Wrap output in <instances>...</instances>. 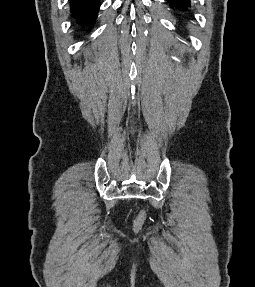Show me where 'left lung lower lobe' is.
Here are the masks:
<instances>
[{
	"label": "left lung lower lobe",
	"instance_id": "obj_1",
	"mask_svg": "<svg viewBox=\"0 0 255 287\" xmlns=\"http://www.w3.org/2000/svg\"><path fill=\"white\" fill-rule=\"evenodd\" d=\"M191 0H167L169 6L176 12L188 16L191 8Z\"/></svg>",
	"mask_w": 255,
	"mask_h": 287
}]
</instances>
